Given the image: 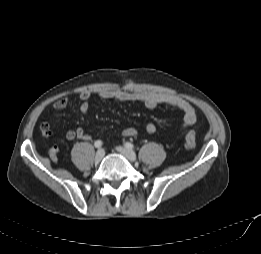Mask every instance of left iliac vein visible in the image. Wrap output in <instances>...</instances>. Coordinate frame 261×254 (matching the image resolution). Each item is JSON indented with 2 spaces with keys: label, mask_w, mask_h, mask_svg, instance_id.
Returning a JSON list of instances; mask_svg holds the SVG:
<instances>
[{
  "label": "left iliac vein",
  "mask_w": 261,
  "mask_h": 254,
  "mask_svg": "<svg viewBox=\"0 0 261 254\" xmlns=\"http://www.w3.org/2000/svg\"><path fill=\"white\" fill-rule=\"evenodd\" d=\"M116 151L125 156L131 162L136 161V154L132 150L119 146L116 147Z\"/></svg>",
  "instance_id": "1"
}]
</instances>
